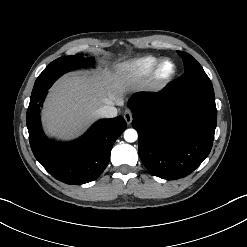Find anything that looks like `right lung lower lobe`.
<instances>
[{"label": "right lung lower lobe", "instance_id": "98d812e1", "mask_svg": "<svg viewBox=\"0 0 247 247\" xmlns=\"http://www.w3.org/2000/svg\"><path fill=\"white\" fill-rule=\"evenodd\" d=\"M29 104L27 128L32 152L41 165L66 184H84L97 179L110 160L112 146L126 129L122 116L95 123L79 139L58 144L46 138L40 123V107L45 99Z\"/></svg>", "mask_w": 247, "mask_h": 247}]
</instances>
